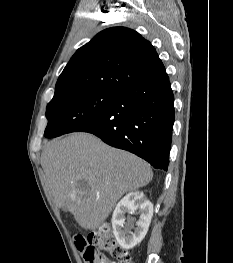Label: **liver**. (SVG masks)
<instances>
[{
  "label": "liver",
  "instance_id": "obj_1",
  "mask_svg": "<svg viewBox=\"0 0 233 263\" xmlns=\"http://www.w3.org/2000/svg\"><path fill=\"white\" fill-rule=\"evenodd\" d=\"M41 166L56 206L88 230H96L125 193L153 178L142 159L83 132L48 142Z\"/></svg>",
  "mask_w": 233,
  "mask_h": 263
}]
</instances>
